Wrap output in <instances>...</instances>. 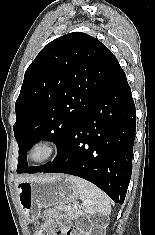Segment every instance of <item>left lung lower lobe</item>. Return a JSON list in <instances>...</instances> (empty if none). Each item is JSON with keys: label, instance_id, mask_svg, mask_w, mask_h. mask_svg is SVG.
<instances>
[{"label": "left lung lower lobe", "instance_id": "0a47b994", "mask_svg": "<svg viewBox=\"0 0 155 235\" xmlns=\"http://www.w3.org/2000/svg\"><path fill=\"white\" fill-rule=\"evenodd\" d=\"M135 123L131 89L118 63L54 161L38 172L81 177L122 204L131 178Z\"/></svg>", "mask_w": 155, "mask_h": 235}]
</instances>
